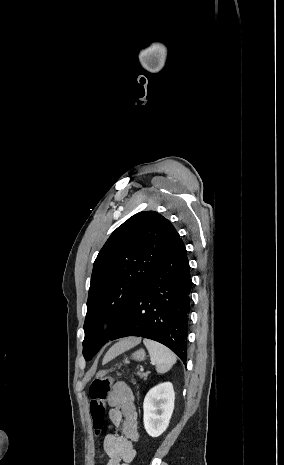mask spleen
<instances>
[{"mask_svg":"<svg viewBox=\"0 0 284 465\" xmlns=\"http://www.w3.org/2000/svg\"><path fill=\"white\" fill-rule=\"evenodd\" d=\"M152 363L156 365L157 373H167L173 365H175L177 359L176 355L169 351L164 345L156 343V341H150V339H144L143 341Z\"/></svg>","mask_w":284,"mask_h":465,"instance_id":"3e777b00","label":"spleen"}]
</instances>
